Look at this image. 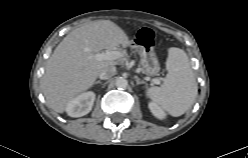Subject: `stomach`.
<instances>
[{
    "label": "stomach",
    "instance_id": "0dacf381",
    "mask_svg": "<svg viewBox=\"0 0 248 158\" xmlns=\"http://www.w3.org/2000/svg\"><path fill=\"white\" fill-rule=\"evenodd\" d=\"M141 66L146 75L154 76L160 71V66L153 49L146 50L142 47L140 50Z\"/></svg>",
    "mask_w": 248,
    "mask_h": 158
}]
</instances>
